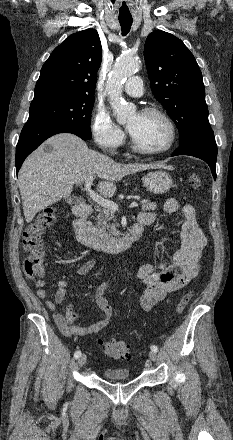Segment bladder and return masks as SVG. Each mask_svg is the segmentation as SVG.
Masks as SVG:
<instances>
[{
  "instance_id": "1",
  "label": "bladder",
  "mask_w": 233,
  "mask_h": 440,
  "mask_svg": "<svg viewBox=\"0 0 233 440\" xmlns=\"http://www.w3.org/2000/svg\"><path fill=\"white\" fill-rule=\"evenodd\" d=\"M104 377L112 381H125L130 378V373L125 368L107 369L104 371Z\"/></svg>"
}]
</instances>
